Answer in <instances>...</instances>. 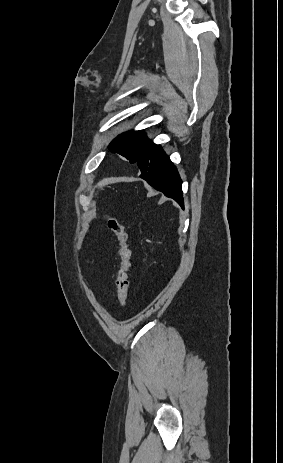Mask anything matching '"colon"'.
Returning a JSON list of instances; mask_svg holds the SVG:
<instances>
[{
	"instance_id": "5ec220e1",
	"label": "colon",
	"mask_w": 283,
	"mask_h": 463,
	"mask_svg": "<svg viewBox=\"0 0 283 463\" xmlns=\"http://www.w3.org/2000/svg\"><path fill=\"white\" fill-rule=\"evenodd\" d=\"M106 224L117 237L119 242L120 262L116 276V289L119 305L124 307L128 298L129 268L131 251L128 246V235L123 224L113 216H106Z\"/></svg>"
}]
</instances>
